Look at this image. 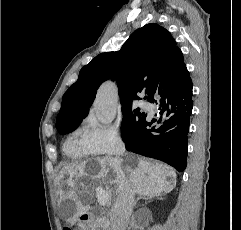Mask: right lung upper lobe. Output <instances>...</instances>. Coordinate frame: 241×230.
I'll return each instance as SVG.
<instances>
[{"instance_id": "obj_1", "label": "right lung upper lobe", "mask_w": 241, "mask_h": 230, "mask_svg": "<svg viewBox=\"0 0 241 230\" xmlns=\"http://www.w3.org/2000/svg\"><path fill=\"white\" fill-rule=\"evenodd\" d=\"M183 63L181 50L165 28L155 23L143 26L119 51L101 53L81 69L78 80L63 96L56 128L77 127L103 81L116 79L122 107H127L133 99H141L139 93H145L148 100L161 80Z\"/></svg>"}]
</instances>
